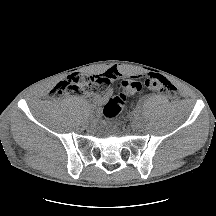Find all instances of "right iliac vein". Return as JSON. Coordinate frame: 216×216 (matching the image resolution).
<instances>
[{
  "mask_svg": "<svg viewBox=\"0 0 216 216\" xmlns=\"http://www.w3.org/2000/svg\"><path fill=\"white\" fill-rule=\"evenodd\" d=\"M90 120H91V121H95V117L92 115V116L90 117Z\"/></svg>",
  "mask_w": 216,
  "mask_h": 216,
  "instance_id": "obj_1",
  "label": "right iliac vein"
}]
</instances>
